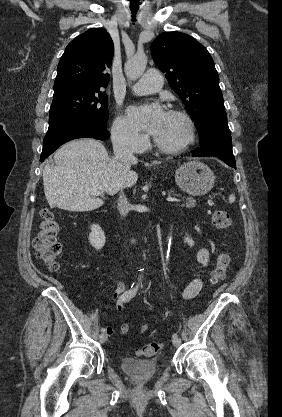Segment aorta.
Returning <instances> with one entry per match:
<instances>
[{
    "label": "aorta",
    "instance_id": "obj_1",
    "mask_svg": "<svg viewBox=\"0 0 282 417\" xmlns=\"http://www.w3.org/2000/svg\"><path fill=\"white\" fill-rule=\"evenodd\" d=\"M147 64L146 54H134L125 62L124 70L127 78L136 80L143 74Z\"/></svg>",
    "mask_w": 282,
    "mask_h": 417
}]
</instances>
